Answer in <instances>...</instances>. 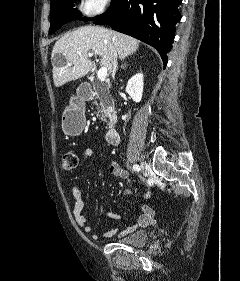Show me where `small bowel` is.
<instances>
[{
  "label": "small bowel",
  "instance_id": "c3829d8e",
  "mask_svg": "<svg viewBox=\"0 0 240 281\" xmlns=\"http://www.w3.org/2000/svg\"><path fill=\"white\" fill-rule=\"evenodd\" d=\"M82 158L84 160H89V162L86 164V168H89L92 164V162L95 160V152L91 148H87L83 151L82 153ZM107 169L109 173L112 175L119 177L121 179H124L127 182V187L124 190V195L128 196L131 193V180L129 177V174L126 170H124L118 163L116 162H111L108 164ZM71 194L74 200V206H73V216L75 219V222L78 224V226L87 234L93 233V227L88 224V218L84 214L83 209H84V202L82 200V193L81 190L77 186H73L71 188ZM141 196L144 199H149L150 198V192L149 191H143L141 193ZM108 216L113 218V219H120L121 216L113 213V212H108ZM154 217V210L148 206V205H143L141 208V213L137 220L129 225L125 230H123L120 235L125 236L129 233H132L136 231L139 228L146 227L148 226L152 219ZM117 233V229L111 230L108 232H105L103 234H93V238L95 240H99L101 238L105 237H110L113 236L114 234Z\"/></svg>",
  "mask_w": 240,
  "mask_h": 281
}]
</instances>
